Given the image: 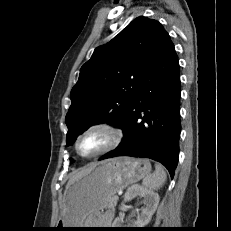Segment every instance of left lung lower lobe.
<instances>
[{
  "instance_id": "left-lung-lower-lobe-1",
  "label": "left lung lower lobe",
  "mask_w": 231,
  "mask_h": 231,
  "mask_svg": "<svg viewBox=\"0 0 231 231\" xmlns=\"http://www.w3.org/2000/svg\"><path fill=\"white\" fill-rule=\"evenodd\" d=\"M141 83L140 92L119 126L124 132L122 142L99 160L117 156L150 158L162 163L173 178L181 131L180 75L169 35Z\"/></svg>"
}]
</instances>
